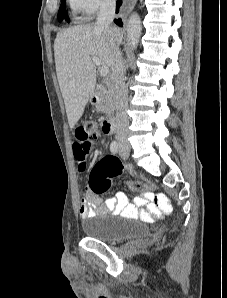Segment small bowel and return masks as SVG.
<instances>
[{
    "mask_svg": "<svg viewBox=\"0 0 227 298\" xmlns=\"http://www.w3.org/2000/svg\"><path fill=\"white\" fill-rule=\"evenodd\" d=\"M73 151L72 158L77 161L79 172H84L90 151L94 146L93 142H81V139H70ZM141 194L135 199V203L128 201L125 193L119 191L114 197L102 200L100 195L93 193L90 189L82 195L79 208L81 219H88L97 214L121 215L127 218H141L145 221H150L154 217H161L164 212L171 210L168 204L163 211L156 208L153 201L156 196L151 190L140 191ZM145 207V208H140Z\"/></svg>",
    "mask_w": 227,
    "mask_h": 298,
    "instance_id": "obj_1",
    "label": "small bowel"
}]
</instances>
